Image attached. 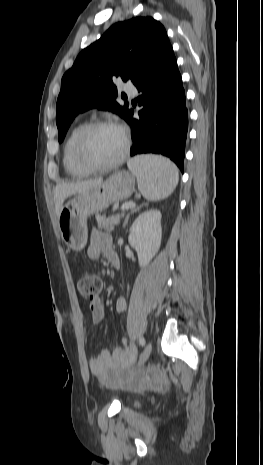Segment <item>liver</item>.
Wrapping results in <instances>:
<instances>
[{
    "mask_svg": "<svg viewBox=\"0 0 263 465\" xmlns=\"http://www.w3.org/2000/svg\"><path fill=\"white\" fill-rule=\"evenodd\" d=\"M103 182L102 178L91 179L86 181L60 183L54 190L55 212L59 216L63 207L64 201L71 195L87 191L93 187L100 185Z\"/></svg>",
    "mask_w": 263,
    "mask_h": 465,
    "instance_id": "liver-1",
    "label": "liver"
}]
</instances>
